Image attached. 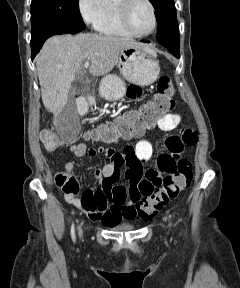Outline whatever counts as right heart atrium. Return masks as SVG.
<instances>
[{"instance_id": "right-heart-atrium-1", "label": "right heart atrium", "mask_w": 240, "mask_h": 288, "mask_svg": "<svg viewBox=\"0 0 240 288\" xmlns=\"http://www.w3.org/2000/svg\"><path fill=\"white\" fill-rule=\"evenodd\" d=\"M78 8L83 20L98 28L109 12V0H78Z\"/></svg>"}]
</instances>
